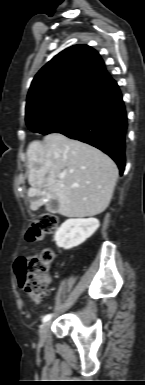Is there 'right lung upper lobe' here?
<instances>
[{
    "label": "right lung upper lobe",
    "instance_id": "cb5924a9",
    "mask_svg": "<svg viewBox=\"0 0 145 385\" xmlns=\"http://www.w3.org/2000/svg\"><path fill=\"white\" fill-rule=\"evenodd\" d=\"M113 83L96 50L87 45L69 47L34 77L27 96L26 114L66 91L87 89L99 93Z\"/></svg>",
    "mask_w": 145,
    "mask_h": 385
}]
</instances>
